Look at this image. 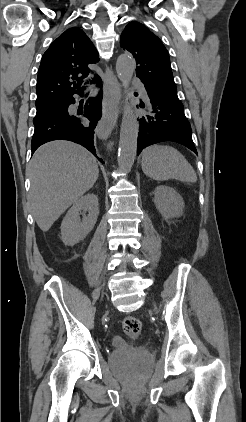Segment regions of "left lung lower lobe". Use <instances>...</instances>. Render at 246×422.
Returning <instances> with one entry per match:
<instances>
[{
  "label": "left lung lower lobe",
  "instance_id": "0a47b994",
  "mask_svg": "<svg viewBox=\"0 0 246 422\" xmlns=\"http://www.w3.org/2000/svg\"><path fill=\"white\" fill-rule=\"evenodd\" d=\"M146 92L145 103H140L145 113L138 119V154L147 146L163 141L180 143L197 154L183 105L171 102L150 88H146Z\"/></svg>",
  "mask_w": 246,
  "mask_h": 422
}]
</instances>
